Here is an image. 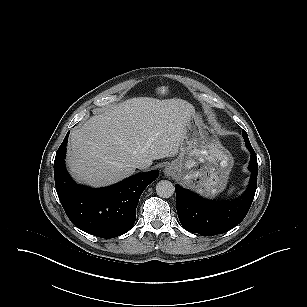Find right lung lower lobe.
Masks as SVG:
<instances>
[{
  "label": "right lung lower lobe",
  "instance_id": "98d812e1",
  "mask_svg": "<svg viewBox=\"0 0 307 307\" xmlns=\"http://www.w3.org/2000/svg\"><path fill=\"white\" fill-rule=\"evenodd\" d=\"M68 135L69 132L54 161L56 191L68 218L82 231L97 237L113 238L125 234L135 223L142 192L159 172L139 173L101 189L77 185L65 168Z\"/></svg>",
  "mask_w": 307,
  "mask_h": 307
}]
</instances>
